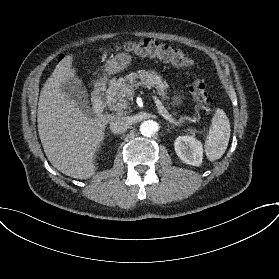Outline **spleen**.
Instances as JSON below:
<instances>
[{"instance_id":"obj_1","label":"spleen","mask_w":279,"mask_h":279,"mask_svg":"<svg viewBox=\"0 0 279 279\" xmlns=\"http://www.w3.org/2000/svg\"><path fill=\"white\" fill-rule=\"evenodd\" d=\"M230 133L231 127L225 112L222 109L216 110L204 145L205 155L209 161H216L224 155Z\"/></svg>"}]
</instances>
